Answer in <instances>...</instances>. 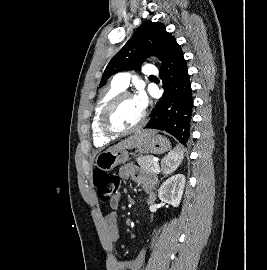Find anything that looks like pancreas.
<instances>
[{"label": "pancreas", "mask_w": 267, "mask_h": 270, "mask_svg": "<svg viewBox=\"0 0 267 270\" xmlns=\"http://www.w3.org/2000/svg\"><path fill=\"white\" fill-rule=\"evenodd\" d=\"M136 160L143 172L153 176L157 175L159 165L156 161H154L153 156H141Z\"/></svg>", "instance_id": "pancreas-1"}]
</instances>
